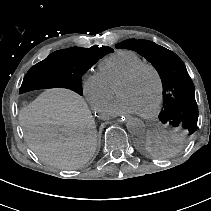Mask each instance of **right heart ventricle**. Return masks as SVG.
Here are the masks:
<instances>
[{
  "label": "right heart ventricle",
  "mask_w": 211,
  "mask_h": 211,
  "mask_svg": "<svg viewBox=\"0 0 211 211\" xmlns=\"http://www.w3.org/2000/svg\"><path fill=\"white\" fill-rule=\"evenodd\" d=\"M141 63H144V59L138 54L132 51H118L100 62L99 73L112 87L127 72Z\"/></svg>",
  "instance_id": "right-heart-ventricle-1"
}]
</instances>
